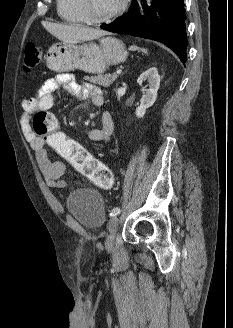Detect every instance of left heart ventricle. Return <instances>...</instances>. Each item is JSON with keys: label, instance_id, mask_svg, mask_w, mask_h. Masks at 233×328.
Here are the masks:
<instances>
[{"label": "left heart ventricle", "instance_id": "1", "mask_svg": "<svg viewBox=\"0 0 233 328\" xmlns=\"http://www.w3.org/2000/svg\"><path fill=\"white\" fill-rule=\"evenodd\" d=\"M121 0H88L89 12L94 17H102L115 10Z\"/></svg>", "mask_w": 233, "mask_h": 328}]
</instances>
